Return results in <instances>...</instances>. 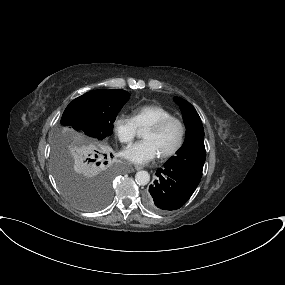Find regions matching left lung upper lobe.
<instances>
[{"instance_id":"left-lung-upper-lobe-1","label":"left lung upper lobe","mask_w":285,"mask_h":285,"mask_svg":"<svg viewBox=\"0 0 285 285\" xmlns=\"http://www.w3.org/2000/svg\"><path fill=\"white\" fill-rule=\"evenodd\" d=\"M174 100L182 111L186 126V139L177 155L172 157L166 164L170 167L186 170L201 178L206 159L202 121L189 102L179 97H175Z\"/></svg>"}]
</instances>
